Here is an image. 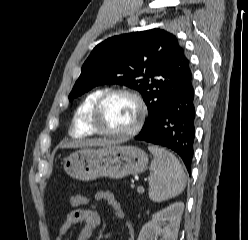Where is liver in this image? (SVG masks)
<instances>
[{
  "instance_id": "obj_1",
  "label": "liver",
  "mask_w": 248,
  "mask_h": 240,
  "mask_svg": "<svg viewBox=\"0 0 248 240\" xmlns=\"http://www.w3.org/2000/svg\"><path fill=\"white\" fill-rule=\"evenodd\" d=\"M113 142L112 141H108V140H103V139H91V140H87L81 143H68L65 144L64 147L65 148H72V147H96V146H108V145H112Z\"/></svg>"
}]
</instances>
